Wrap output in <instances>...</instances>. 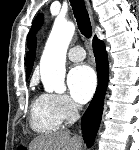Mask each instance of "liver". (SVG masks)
<instances>
[{"instance_id":"liver-1","label":"liver","mask_w":139,"mask_h":150,"mask_svg":"<svg viewBox=\"0 0 139 150\" xmlns=\"http://www.w3.org/2000/svg\"><path fill=\"white\" fill-rule=\"evenodd\" d=\"M80 137H71L68 131L43 134L36 137L29 145V150H80Z\"/></svg>"}]
</instances>
